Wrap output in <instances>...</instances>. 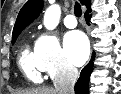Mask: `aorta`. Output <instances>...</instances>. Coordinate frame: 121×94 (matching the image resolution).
Returning <instances> with one entry per match:
<instances>
[{"mask_svg":"<svg viewBox=\"0 0 121 94\" xmlns=\"http://www.w3.org/2000/svg\"><path fill=\"white\" fill-rule=\"evenodd\" d=\"M61 16V9L59 5L49 6L45 13L43 24L48 30H53L57 27Z\"/></svg>","mask_w":121,"mask_h":94,"instance_id":"obj_1","label":"aorta"}]
</instances>
